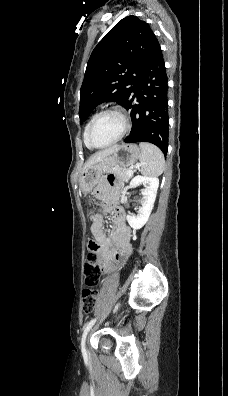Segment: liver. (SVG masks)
<instances>
[{
    "label": "liver",
    "mask_w": 228,
    "mask_h": 396,
    "mask_svg": "<svg viewBox=\"0 0 228 396\" xmlns=\"http://www.w3.org/2000/svg\"><path fill=\"white\" fill-rule=\"evenodd\" d=\"M118 145H114L112 147H109L105 150H102L100 152L95 153L92 157L89 158V160L85 163L83 171L91 166H93L94 164L100 162L101 160H103L104 158H106L107 156H109L116 148Z\"/></svg>",
    "instance_id": "1"
}]
</instances>
